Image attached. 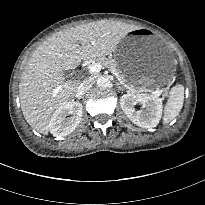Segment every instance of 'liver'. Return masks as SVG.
Listing matches in <instances>:
<instances>
[{
	"label": "liver",
	"mask_w": 205,
	"mask_h": 205,
	"mask_svg": "<svg viewBox=\"0 0 205 205\" xmlns=\"http://www.w3.org/2000/svg\"><path fill=\"white\" fill-rule=\"evenodd\" d=\"M136 26L101 20L57 32L42 43L28 60L19 84L21 109L27 123L47 134L52 114L75 97L80 82L65 81L62 72L81 60L106 56ZM81 44V46L79 45Z\"/></svg>",
	"instance_id": "obj_1"
}]
</instances>
